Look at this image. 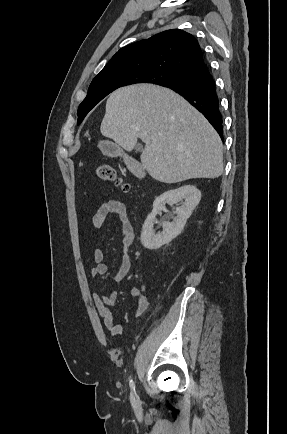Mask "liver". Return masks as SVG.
Instances as JSON below:
<instances>
[{
	"mask_svg": "<svg viewBox=\"0 0 287 434\" xmlns=\"http://www.w3.org/2000/svg\"><path fill=\"white\" fill-rule=\"evenodd\" d=\"M101 133L127 151L145 143L141 163L152 178L177 183L223 173V144L207 119L170 89L141 84L110 94Z\"/></svg>",
	"mask_w": 287,
	"mask_h": 434,
	"instance_id": "obj_1",
	"label": "liver"
}]
</instances>
